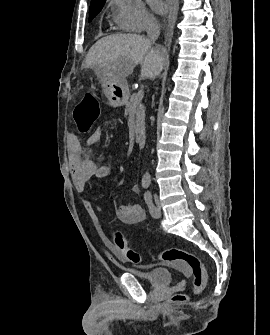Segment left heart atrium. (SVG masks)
Masks as SVG:
<instances>
[{
	"instance_id": "left-heart-atrium-1",
	"label": "left heart atrium",
	"mask_w": 270,
	"mask_h": 335,
	"mask_svg": "<svg viewBox=\"0 0 270 335\" xmlns=\"http://www.w3.org/2000/svg\"><path fill=\"white\" fill-rule=\"evenodd\" d=\"M152 6H153V8H154V10H155L156 12H158V13L161 12V7H160V5H159L158 2H154V3H152Z\"/></svg>"
}]
</instances>
